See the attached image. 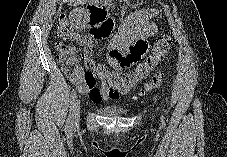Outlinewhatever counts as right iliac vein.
I'll use <instances>...</instances> for the list:
<instances>
[{
	"label": "right iliac vein",
	"instance_id": "1",
	"mask_svg": "<svg viewBox=\"0 0 227 157\" xmlns=\"http://www.w3.org/2000/svg\"><path fill=\"white\" fill-rule=\"evenodd\" d=\"M79 117H80V101L76 99L73 104L72 124H76L79 120Z\"/></svg>",
	"mask_w": 227,
	"mask_h": 157
}]
</instances>
